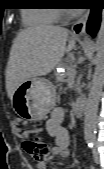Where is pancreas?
Segmentation results:
<instances>
[{
	"mask_svg": "<svg viewBox=\"0 0 104 169\" xmlns=\"http://www.w3.org/2000/svg\"><path fill=\"white\" fill-rule=\"evenodd\" d=\"M64 67L66 69L65 74H57V79L60 82H65L66 78L69 77L71 74V69L74 68V66L72 64L65 65Z\"/></svg>",
	"mask_w": 104,
	"mask_h": 169,
	"instance_id": "1",
	"label": "pancreas"
}]
</instances>
